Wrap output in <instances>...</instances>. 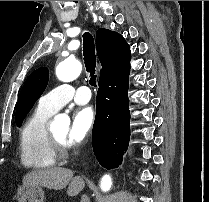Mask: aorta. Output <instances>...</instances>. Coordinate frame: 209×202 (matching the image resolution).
<instances>
[{"mask_svg": "<svg viewBox=\"0 0 209 202\" xmlns=\"http://www.w3.org/2000/svg\"><path fill=\"white\" fill-rule=\"evenodd\" d=\"M82 71V65L80 61L76 59H65L61 61L56 67V76L62 82H69L75 80ZM70 119L67 115H57L54 121L51 123V127L56 126H68ZM112 187V178L109 174H105L100 181V188L106 192Z\"/></svg>", "mask_w": 209, "mask_h": 202, "instance_id": "aorta-1", "label": "aorta"}]
</instances>
